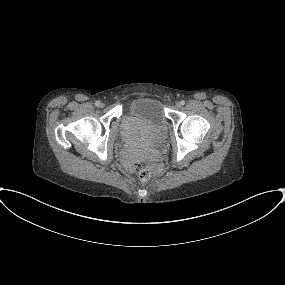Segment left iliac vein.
I'll use <instances>...</instances> for the list:
<instances>
[{"label":"left iliac vein","mask_w":285,"mask_h":285,"mask_svg":"<svg viewBox=\"0 0 285 285\" xmlns=\"http://www.w3.org/2000/svg\"><path fill=\"white\" fill-rule=\"evenodd\" d=\"M177 108H180L181 107V104L179 102L176 103L175 105Z\"/></svg>","instance_id":"left-iliac-vein-1"}]
</instances>
